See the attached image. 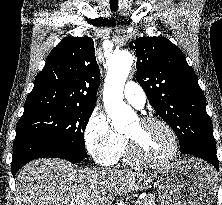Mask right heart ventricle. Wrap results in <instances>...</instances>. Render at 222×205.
I'll return each instance as SVG.
<instances>
[{
	"label": "right heart ventricle",
	"mask_w": 222,
	"mask_h": 205,
	"mask_svg": "<svg viewBox=\"0 0 222 205\" xmlns=\"http://www.w3.org/2000/svg\"><path fill=\"white\" fill-rule=\"evenodd\" d=\"M131 159L129 157V154H128V148H127V145H126V141H125V144L121 150V152L118 154V156L115 158L114 162L112 164H115L119 161H122V162H129Z\"/></svg>",
	"instance_id": "obj_1"
}]
</instances>
